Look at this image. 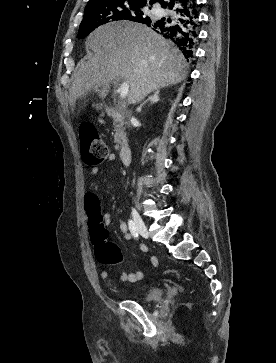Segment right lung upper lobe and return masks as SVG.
I'll list each match as a JSON object with an SVG mask.
<instances>
[{"mask_svg": "<svg viewBox=\"0 0 276 363\" xmlns=\"http://www.w3.org/2000/svg\"><path fill=\"white\" fill-rule=\"evenodd\" d=\"M102 1H109V0H89V2L87 3V6L96 3V2H102ZM122 1H134V2H141V3H147V0H122ZM164 0H149V4L152 5L156 2L158 3H162ZM145 20H149V18L145 19ZM143 20L142 23L145 21Z\"/></svg>", "mask_w": 276, "mask_h": 363, "instance_id": "1", "label": "right lung upper lobe"}]
</instances>
